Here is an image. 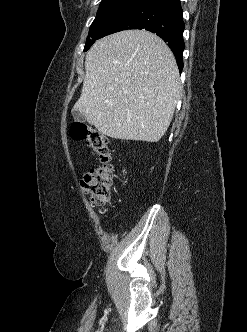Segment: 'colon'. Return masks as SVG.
<instances>
[{"label": "colon", "mask_w": 247, "mask_h": 332, "mask_svg": "<svg viewBox=\"0 0 247 332\" xmlns=\"http://www.w3.org/2000/svg\"><path fill=\"white\" fill-rule=\"evenodd\" d=\"M70 135L75 140H83L92 149L99 164L85 174L81 186L96 207L106 205L113 188L114 168L107 138L96 128L83 122H75L70 127Z\"/></svg>", "instance_id": "obj_1"}]
</instances>
